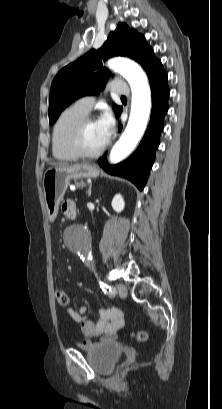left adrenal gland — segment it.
I'll use <instances>...</instances> for the list:
<instances>
[{
    "instance_id": "left-adrenal-gland-1",
    "label": "left adrenal gland",
    "mask_w": 222,
    "mask_h": 409,
    "mask_svg": "<svg viewBox=\"0 0 222 409\" xmlns=\"http://www.w3.org/2000/svg\"><path fill=\"white\" fill-rule=\"evenodd\" d=\"M91 188H92V185L90 184V185H89V188H88V191H87L88 197L91 196Z\"/></svg>"
}]
</instances>
